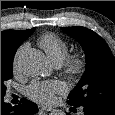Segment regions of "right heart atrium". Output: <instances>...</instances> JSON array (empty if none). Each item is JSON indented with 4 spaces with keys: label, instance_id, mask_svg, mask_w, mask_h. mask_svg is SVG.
<instances>
[{
    "label": "right heart atrium",
    "instance_id": "right-heart-atrium-1",
    "mask_svg": "<svg viewBox=\"0 0 115 115\" xmlns=\"http://www.w3.org/2000/svg\"><path fill=\"white\" fill-rule=\"evenodd\" d=\"M27 49H28V44L24 43L16 51V53L14 55V59H13V70H14V72H18L19 71L21 57H22L23 53Z\"/></svg>",
    "mask_w": 115,
    "mask_h": 115
}]
</instances>
